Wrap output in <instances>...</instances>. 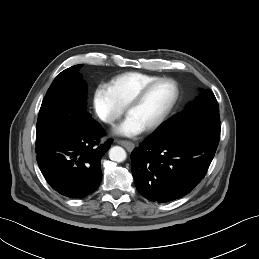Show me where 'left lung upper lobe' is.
Wrapping results in <instances>:
<instances>
[{
  "label": "left lung upper lobe",
  "mask_w": 259,
  "mask_h": 259,
  "mask_svg": "<svg viewBox=\"0 0 259 259\" xmlns=\"http://www.w3.org/2000/svg\"><path fill=\"white\" fill-rule=\"evenodd\" d=\"M192 123L220 125L218 103L210 90L202 89L200 97L191 106L171 117L151 136L163 139Z\"/></svg>",
  "instance_id": "5c2ea615"
}]
</instances>
